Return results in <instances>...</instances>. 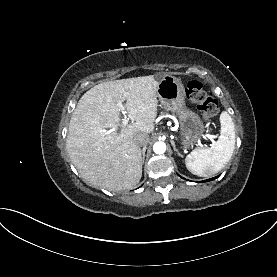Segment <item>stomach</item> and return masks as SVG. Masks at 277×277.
<instances>
[{
	"instance_id": "obj_1",
	"label": "stomach",
	"mask_w": 277,
	"mask_h": 277,
	"mask_svg": "<svg viewBox=\"0 0 277 277\" xmlns=\"http://www.w3.org/2000/svg\"><path fill=\"white\" fill-rule=\"evenodd\" d=\"M156 95L163 108L178 117L182 146L191 148L204 135L206 126L196 112L187 108L185 88L181 80L171 75L163 76L159 81Z\"/></svg>"
}]
</instances>
